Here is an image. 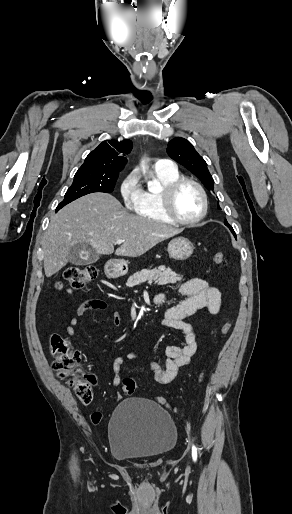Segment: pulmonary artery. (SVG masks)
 I'll use <instances>...</instances> for the list:
<instances>
[{
    "label": "pulmonary artery",
    "mask_w": 292,
    "mask_h": 514,
    "mask_svg": "<svg viewBox=\"0 0 292 514\" xmlns=\"http://www.w3.org/2000/svg\"><path fill=\"white\" fill-rule=\"evenodd\" d=\"M157 170L167 174L177 173V167H175L172 159L169 156H164L161 161L157 163Z\"/></svg>",
    "instance_id": "e3ab8cb5"
}]
</instances>
